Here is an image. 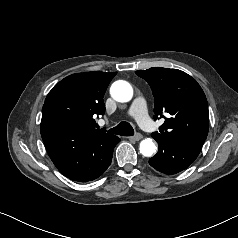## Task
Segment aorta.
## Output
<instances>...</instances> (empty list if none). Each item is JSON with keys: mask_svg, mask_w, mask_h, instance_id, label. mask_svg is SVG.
<instances>
[{"mask_svg": "<svg viewBox=\"0 0 238 238\" xmlns=\"http://www.w3.org/2000/svg\"><path fill=\"white\" fill-rule=\"evenodd\" d=\"M110 94L118 102H128L133 97V88L128 82L118 80L111 85ZM139 150L143 156L151 157L156 153L157 146L152 139L147 138L140 142Z\"/></svg>", "mask_w": 238, "mask_h": 238, "instance_id": "aorta-1", "label": "aorta"}]
</instances>
